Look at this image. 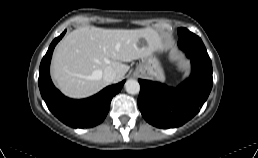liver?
<instances>
[{"label": "liver", "instance_id": "obj_1", "mask_svg": "<svg viewBox=\"0 0 258 158\" xmlns=\"http://www.w3.org/2000/svg\"><path fill=\"white\" fill-rule=\"evenodd\" d=\"M163 48L162 37L152 28L103 29L81 27L57 45L51 74L57 87L72 98L89 97L108 85L103 71L111 67L115 82L129 70L123 62L145 59Z\"/></svg>", "mask_w": 258, "mask_h": 158}]
</instances>
